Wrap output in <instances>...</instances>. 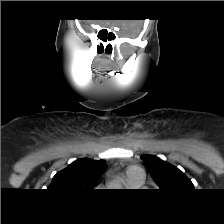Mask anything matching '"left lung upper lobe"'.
<instances>
[{
  "mask_svg": "<svg viewBox=\"0 0 224 224\" xmlns=\"http://www.w3.org/2000/svg\"><path fill=\"white\" fill-rule=\"evenodd\" d=\"M141 158L162 191L174 193L194 189L191 180L174 165L152 155H143Z\"/></svg>",
  "mask_w": 224,
  "mask_h": 224,
  "instance_id": "5c2ea615",
  "label": "left lung upper lobe"
}]
</instances>
